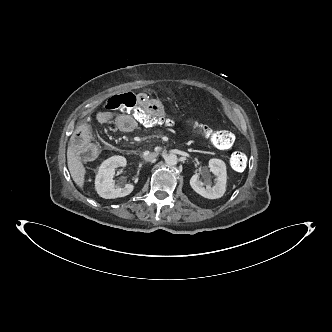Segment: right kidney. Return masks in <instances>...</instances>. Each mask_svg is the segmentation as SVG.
Wrapping results in <instances>:
<instances>
[{"label": "right kidney", "mask_w": 332, "mask_h": 332, "mask_svg": "<svg viewBox=\"0 0 332 332\" xmlns=\"http://www.w3.org/2000/svg\"><path fill=\"white\" fill-rule=\"evenodd\" d=\"M126 159L123 156H112L103 161L99 167L95 178V189L100 197L114 199L129 195L133 189V184H126L124 187L115 186L113 176L117 167L126 166Z\"/></svg>", "instance_id": "obj_1"}]
</instances>
